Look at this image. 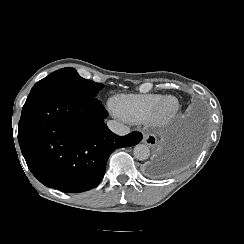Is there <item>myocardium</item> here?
Segmentation results:
<instances>
[{"label":"myocardium","instance_id":"obj_1","mask_svg":"<svg viewBox=\"0 0 244 244\" xmlns=\"http://www.w3.org/2000/svg\"><path fill=\"white\" fill-rule=\"evenodd\" d=\"M172 101L168 105L167 102ZM179 109V101L173 95H165L159 98L156 104V115L153 119V125L163 126L168 124L175 116Z\"/></svg>","mask_w":244,"mask_h":244}]
</instances>
